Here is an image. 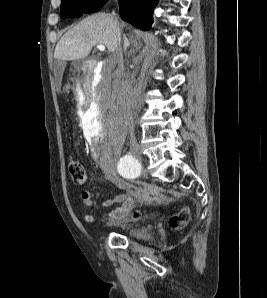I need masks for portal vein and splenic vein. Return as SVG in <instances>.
I'll return each mask as SVG.
<instances>
[{"label": "portal vein and splenic vein", "mask_w": 267, "mask_h": 298, "mask_svg": "<svg viewBox=\"0 0 267 298\" xmlns=\"http://www.w3.org/2000/svg\"><path fill=\"white\" fill-rule=\"evenodd\" d=\"M97 49L100 50V51H105V46L102 45V44H98Z\"/></svg>", "instance_id": "18ae733b"}]
</instances>
